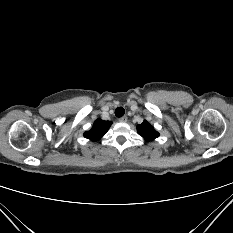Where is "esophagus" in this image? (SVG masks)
<instances>
[{
    "mask_svg": "<svg viewBox=\"0 0 233 233\" xmlns=\"http://www.w3.org/2000/svg\"><path fill=\"white\" fill-rule=\"evenodd\" d=\"M127 121V117L126 116H122L119 118V122L121 123H125Z\"/></svg>",
    "mask_w": 233,
    "mask_h": 233,
    "instance_id": "esophagus-1",
    "label": "esophagus"
}]
</instances>
